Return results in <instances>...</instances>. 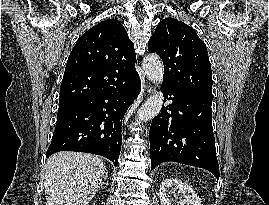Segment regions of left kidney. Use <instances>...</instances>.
<instances>
[{"label":"left kidney","mask_w":269,"mask_h":205,"mask_svg":"<svg viewBox=\"0 0 269 205\" xmlns=\"http://www.w3.org/2000/svg\"><path fill=\"white\" fill-rule=\"evenodd\" d=\"M176 191L182 198L175 205H202L196 192L188 184L175 178L162 180L159 188L161 205H173L174 200L170 195Z\"/></svg>","instance_id":"1"}]
</instances>
